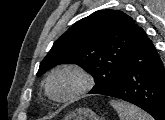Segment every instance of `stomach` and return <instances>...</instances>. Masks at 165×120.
<instances>
[{
  "label": "stomach",
  "instance_id": "1",
  "mask_svg": "<svg viewBox=\"0 0 165 120\" xmlns=\"http://www.w3.org/2000/svg\"><path fill=\"white\" fill-rule=\"evenodd\" d=\"M63 120H102L99 116L88 108H78L67 114Z\"/></svg>",
  "mask_w": 165,
  "mask_h": 120
}]
</instances>
